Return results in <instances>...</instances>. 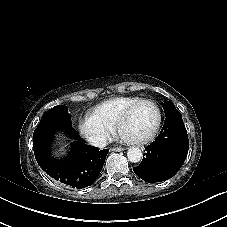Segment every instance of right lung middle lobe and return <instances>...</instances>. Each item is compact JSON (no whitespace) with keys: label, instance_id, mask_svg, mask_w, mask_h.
Here are the masks:
<instances>
[{"label":"right lung middle lobe","instance_id":"obj_1","mask_svg":"<svg viewBox=\"0 0 227 227\" xmlns=\"http://www.w3.org/2000/svg\"><path fill=\"white\" fill-rule=\"evenodd\" d=\"M67 127L71 137L81 138L75 129L71 126V117L68 113V108L63 105H58L48 110L41 118L36 129L43 127ZM34 149V148H33Z\"/></svg>","mask_w":227,"mask_h":227}]
</instances>
